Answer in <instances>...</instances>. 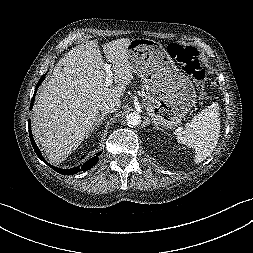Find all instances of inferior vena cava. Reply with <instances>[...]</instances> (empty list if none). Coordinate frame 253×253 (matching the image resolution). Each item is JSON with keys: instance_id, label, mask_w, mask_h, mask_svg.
<instances>
[{"instance_id": "obj_1", "label": "inferior vena cava", "mask_w": 253, "mask_h": 253, "mask_svg": "<svg viewBox=\"0 0 253 253\" xmlns=\"http://www.w3.org/2000/svg\"><path fill=\"white\" fill-rule=\"evenodd\" d=\"M121 106V101L119 99H110L102 102L100 110L102 114L113 113L117 111Z\"/></svg>"}]
</instances>
